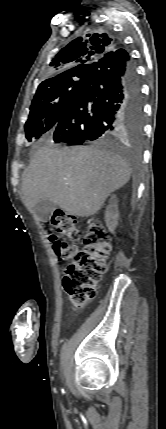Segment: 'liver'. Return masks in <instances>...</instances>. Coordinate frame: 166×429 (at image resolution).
<instances>
[{
	"label": "liver",
	"instance_id": "6515ba94",
	"mask_svg": "<svg viewBox=\"0 0 166 429\" xmlns=\"http://www.w3.org/2000/svg\"><path fill=\"white\" fill-rule=\"evenodd\" d=\"M129 164L98 147L40 148L22 176L24 203L49 200L69 214H96L106 198L130 179Z\"/></svg>",
	"mask_w": 166,
	"mask_h": 429
}]
</instances>
